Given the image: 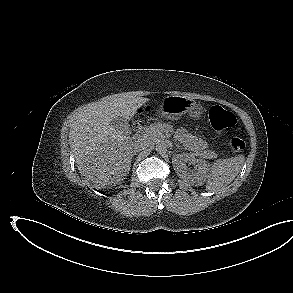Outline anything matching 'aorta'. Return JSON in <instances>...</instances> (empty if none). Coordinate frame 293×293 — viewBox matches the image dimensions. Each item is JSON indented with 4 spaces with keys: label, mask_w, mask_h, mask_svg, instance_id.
Segmentation results:
<instances>
[{
    "label": "aorta",
    "mask_w": 293,
    "mask_h": 293,
    "mask_svg": "<svg viewBox=\"0 0 293 293\" xmlns=\"http://www.w3.org/2000/svg\"><path fill=\"white\" fill-rule=\"evenodd\" d=\"M156 151L159 154H164L167 151V144L165 142H159L156 144Z\"/></svg>",
    "instance_id": "aorta-1"
}]
</instances>
